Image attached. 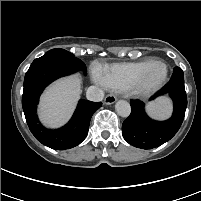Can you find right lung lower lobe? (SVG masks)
<instances>
[{
    "mask_svg": "<svg viewBox=\"0 0 201 201\" xmlns=\"http://www.w3.org/2000/svg\"><path fill=\"white\" fill-rule=\"evenodd\" d=\"M78 65L59 53H46L33 61L24 78L22 107L27 124L35 138L56 150L70 149L86 137L93 113L101 102L80 100L71 120L57 130L46 129L38 120L36 108L42 91L54 80L76 72Z\"/></svg>",
    "mask_w": 201,
    "mask_h": 201,
    "instance_id": "1",
    "label": "right lung lower lobe"
}]
</instances>
